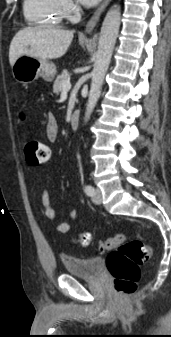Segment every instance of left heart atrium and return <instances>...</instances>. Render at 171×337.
Instances as JSON below:
<instances>
[{
  "label": "left heart atrium",
  "instance_id": "39dd6f15",
  "mask_svg": "<svg viewBox=\"0 0 171 337\" xmlns=\"http://www.w3.org/2000/svg\"><path fill=\"white\" fill-rule=\"evenodd\" d=\"M83 5L91 6L96 4L99 0H79Z\"/></svg>",
  "mask_w": 171,
  "mask_h": 337
}]
</instances>
